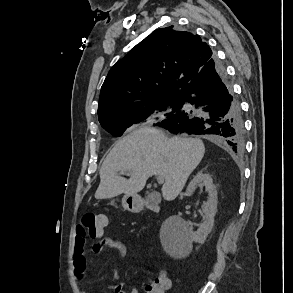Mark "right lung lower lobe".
Segmentation results:
<instances>
[{
    "label": "right lung lower lobe",
    "instance_id": "1",
    "mask_svg": "<svg viewBox=\"0 0 293 293\" xmlns=\"http://www.w3.org/2000/svg\"><path fill=\"white\" fill-rule=\"evenodd\" d=\"M177 108L154 123L172 133L211 135L236 154L244 150L241 108L232 95L224 68L214 57L182 89Z\"/></svg>",
    "mask_w": 293,
    "mask_h": 293
}]
</instances>
